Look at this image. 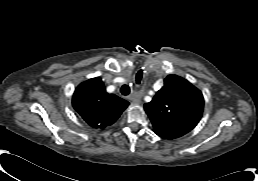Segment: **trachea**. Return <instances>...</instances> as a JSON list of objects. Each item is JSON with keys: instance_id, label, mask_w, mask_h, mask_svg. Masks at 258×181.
Here are the masks:
<instances>
[{"instance_id": "1", "label": "trachea", "mask_w": 258, "mask_h": 181, "mask_svg": "<svg viewBox=\"0 0 258 181\" xmlns=\"http://www.w3.org/2000/svg\"><path fill=\"white\" fill-rule=\"evenodd\" d=\"M120 91L123 95H129L130 94V87L128 85H123L121 87Z\"/></svg>"}]
</instances>
